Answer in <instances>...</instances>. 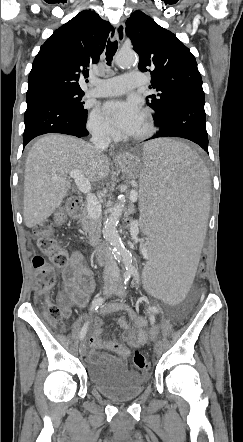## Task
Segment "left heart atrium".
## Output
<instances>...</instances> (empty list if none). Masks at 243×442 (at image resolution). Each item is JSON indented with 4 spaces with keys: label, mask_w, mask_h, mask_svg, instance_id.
<instances>
[{
    "label": "left heart atrium",
    "mask_w": 243,
    "mask_h": 442,
    "mask_svg": "<svg viewBox=\"0 0 243 442\" xmlns=\"http://www.w3.org/2000/svg\"><path fill=\"white\" fill-rule=\"evenodd\" d=\"M105 116L119 131L130 135L142 117L141 108L136 100H111L104 104Z\"/></svg>",
    "instance_id": "left-heart-atrium-1"
}]
</instances>
